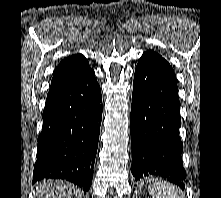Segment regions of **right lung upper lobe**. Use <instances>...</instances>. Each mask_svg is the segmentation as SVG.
I'll return each instance as SVG.
<instances>
[{"instance_id":"obj_1","label":"right lung upper lobe","mask_w":221,"mask_h":198,"mask_svg":"<svg viewBox=\"0 0 221 198\" xmlns=\"http://www.w3.org/2000/svg\"><path fill=\"white\" fill-rule=\"evenodd\" d=\"M90 71L89 63L82 54L64 58L54 73L49 93L74 83Z\"/></svg>"}]
</instances>
